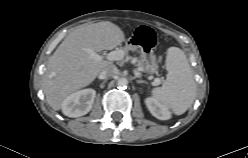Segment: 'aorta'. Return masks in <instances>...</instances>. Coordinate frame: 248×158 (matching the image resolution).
Listing matches in <instances>:
<instances>
[{
	"instance_id": "762f6f07",
	"label": "aorta",
	"mask_w": 248,
	"mask_h": 158,
	"mask_svg": "<svg viewBox=\"0 0 248 158\" xmlns=\"http://www.w3.org/2000/svg\"><path fill=\"white\" fill-rule=\"evenodd\" d=\"M127 84H128V80H127L126 78H124V77H121V78H119V79L117 80V85H118L119 87H126Z\"/></svg>"
}]
</instances>
